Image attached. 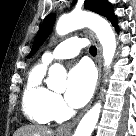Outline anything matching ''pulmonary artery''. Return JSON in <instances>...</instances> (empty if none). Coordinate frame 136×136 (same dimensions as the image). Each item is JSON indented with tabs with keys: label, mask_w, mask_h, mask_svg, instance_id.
Segmentation results:
<instances>
[{
	"label": "pulmonary artery",
	"mask_w": 136,
	"mask_h": 136,
	"mask_svg": "<svg viewBox=\"0 0 136 136\" xmlns=\"http://www.w3.org/2000/svg\"><path fill=\"white\" fill-rule=\"evenodd\" d=\"M86 44L87 41L85 39L77 37L66 39L58 44L53 50L44 53L42 61L44 64H49L55 60L75 57Z\"/></svg>",
	"instance_id": "1"
}]
</instances>
